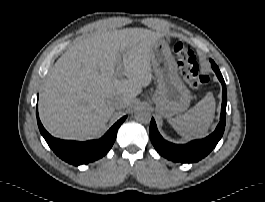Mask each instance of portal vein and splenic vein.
Listing matches in <instances>:
<instances>
[{
  "label": "portal vein and splenic vein",
  "mask_w": 265,
  "mask_h": 202,
  "mask_svg": "<svg viewBox=\"0 0 265 202\" xmlns=\"http://www.w3.org/2000/svg\"><path fill=\"white\" fill-rule=\"evenodd\" d=\"M121 74H122V65H121L120 61H118L116 75L121 76Z\"/></svg>",
  "instance_id": "18ae733b"
}]
</instances>
